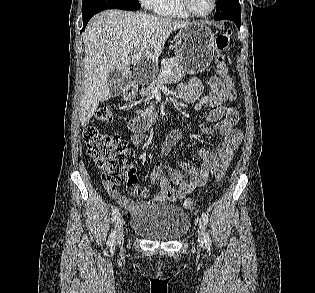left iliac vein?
<instances>
[{"instance_id":"4c4485c4","label":"left iliac vein","mask_w":315,"mask_h":293,"mask_svg":"<svg viewBox=\"0 0 315 293\" xmlns=\"http://www.w3.org/2000/svg\"><path fill=\"white\" fill-rule=\"evenodd\" d=\"M205 239V226L201 220H199L198 224V244L200 247L204 246Z\"/></svg>"}]
</instances>
